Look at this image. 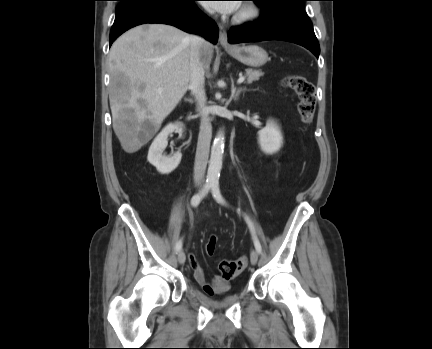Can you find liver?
Segmentation results:
<instances>
[{"mask_svg":"<svg viewBox=\"0 0 432 349\" xmlns=\"http://www.w3.org/2000/svg\"><path fill=\"white\" fill-rule=\"evenodd\" d=\"M190 35L164 24L134 27L109 52L113 129L123 150L134 153L160 129L190 82ZM213 46L200 49L209 70ZM131 111L128 115L126 112Z\"/></svg>","mask_w":432,"mask_h":349,"instance_id":"1","label":"liver"}]
</instances>
